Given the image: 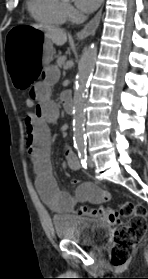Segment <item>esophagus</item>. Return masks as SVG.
<instances>
[{"mask_svg": "<svg viewBox=\"0 0 148 279\" xmlns=\"http://www.w3.org/2000/svg\"><path fill=\"white\" fill-rule=\"evenodd\" d=\"M102 10L103 6L100 8L97 14L84 26V28L77 33L78 39H84L96 31L101 20Z\"/></svg>", "mask_w": 148, "mask_h": 279, "instance_id": "obj_1", "label": "esophagus"}]
</instances>
